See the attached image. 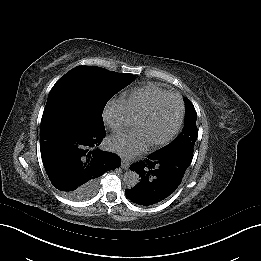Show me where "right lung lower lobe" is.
Masks as SVG:
<instances>
[{"label": "right lung lower lobe", "instance_id": "98d812e1", "mask_svg": "<svg viewBox=\"0 0 261 261\" xmlns=\"http://www.w3.org/2000/svg\"><path fill=\"white\" fill-rule=\"evenodd\" d=\"M105 134L104 123L89 120L76 109L63 105L45 107L40 148L54 187L69 192L121 165L117 155L97 150Z\"/></svg>", "mask_w": 261, "mask_h": 261}]
</instances>
